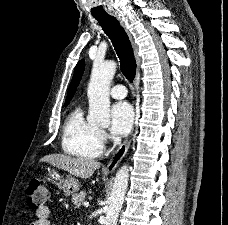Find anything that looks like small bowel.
Wrapping results in <instances>:
<instances>
[{"label":"small bowel","mask_w":228,"mask_h":225,"mask_svg":"<svg viewBox=\"0 0 228 225\" xmlns=\"http://www.w3.org/2000/svg\"><path fill=\"white\" fill-rule=\"evenodd\" d=\"M50 210L47 206H44L36 211L37 220L32 225H51L49 219Z\"/></svg>","instance_id":"small-bowel-1"}]
</instances>
